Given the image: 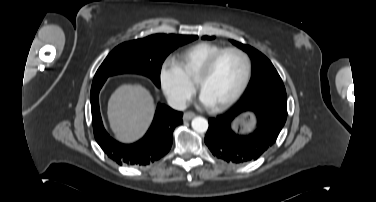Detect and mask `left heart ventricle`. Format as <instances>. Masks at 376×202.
Wrapping results in <instances>:
<instances>
[{
	"label": "left heart ventricle",
	"instance_id": "1",
	"mask_svg": "<svg viewBox=\"0 0 376 202\" xmlns=\"http://www.w3.org/2000/svg\"><path fill=\"white\" fill-rule=\"evenodd\" d=\"M245 71L243 59L235 53L223 55L211 74L203 81L201 92L211 105H218L239 88Z\"/></svg>",
	"mask_w": 376,
	"mask_h": 202
}]
</instances>
